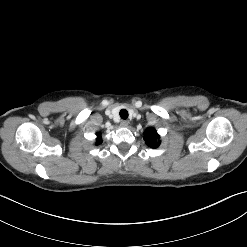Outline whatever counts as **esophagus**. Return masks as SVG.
Listing matches in <instances>:
<instances>
[{
	"instance_id": "34e87169",
	"label": "esophagus",
	"mask_w": 247,
	"mask_h": 247,
	"mask_svg": "<svg viewBox=\"0 0 247 247\" xmlns=\"http://www.w3.org/2000/svg\"><path fill=\"white\" fill-rule=\"evenodd\" d=\"M128 121H126V120H123L122 122H121V126L122 127H127L128 126Z\"/></svg>"
}]
</instances>
